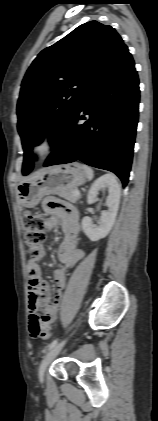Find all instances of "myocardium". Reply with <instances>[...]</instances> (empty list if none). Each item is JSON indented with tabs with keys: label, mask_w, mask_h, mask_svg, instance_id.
Masks as SVG:
<instances>
[{
	"label": "myocardium",
	"mask_w": 158,
	"mask_h": 421,
	"mask_svg": "<svg viewBox=\"0 0 158 421\" xmlns=\"http://www.w3.org/2000/svg\"><path fill=\"white\" fill-rule=\"evenodd\" d=\"M56 132L51 128H46L41 131L35 138L31 153L37 159H43L48 156L56 147Z\"/></svg>",
	"instance_id": "myocardium-1"
}]
</instances>
